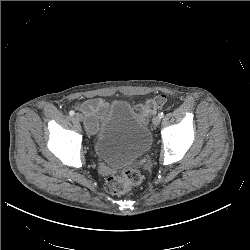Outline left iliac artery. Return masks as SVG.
Returning <instances> with one entry per match:
<instances>
[{
	"mask_svg": "<svg viewBox=\"0 0 250 250\" xmlns=\"http://www.w3.org/2000/svg\"><path fill=\"white\" fill-rule=\"evenodd\" d=\"M158 116H159V117H160V119H161V118H163V117H164V113H163V112H161V113H159V114H158Z\"/></svg>",
	"mask_w": 250,
	"mask_h": 250,
	"instance_id": "44dca946",
	"label": "left iliac artery"
}]
</instances>
